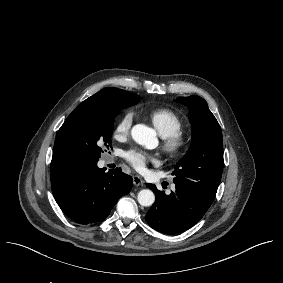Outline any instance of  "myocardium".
Wrapping results in <instances>:
<instances>
[{"label": "myocardium", "instance_id": "obj_1", "mask_svg": "<svg viewBox=\"0 0 283 283\" xmlns=\"http://www.w3.org/2000/svg\"><path fill=\"white\" fill-rule=\"evenodd\" d=\"M191 144V138L188 132L178 130L162 141V150L170 159L183 157Z\"/></svg>", "mask_w": 283, "mask_h": 283}]
</instances>
